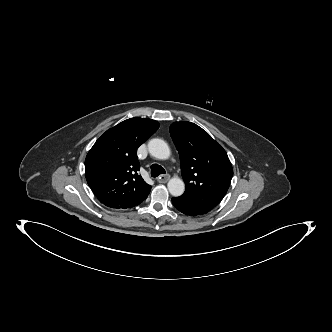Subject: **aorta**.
<instances>
[{
  "mask_svg": "<svg viewBox=\"0 0 332 332\" xmlns=\"http://www.w3.org/2000/svg\"><path fill=\"white\" fill-rule=\"evenodd\" d=\"M148 151L153 157L166 160L170 157L171 151L167 143L159 138L151 139L148 142ZM168 190L172 196H180L184 193L185 185L182 179L173 177L167 184Z\"/></svg>",
  "mask_w": 332,
  "mask_h": 332,
  "instance_id": "1",
  "label": "aorta"
}]
</instances>
